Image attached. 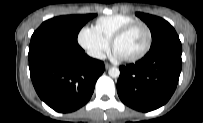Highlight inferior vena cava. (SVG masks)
Listing matches in <instances>:
<instances>
[{"instance_id":"obj_1","label":"inferior vena cava","mask_w":203,"mask_h":123,"mask_svg":"<svg viewBox=\"0 0 203 123\" xmlns=\"http://www.w3.org/2000/svg\"><path fill=\"white\" fill-rule=\"evenodd\" d=\"M88 54L93 58H97L101 60H104L106 58V55L103 52L97 51V50H92Z\"/></svg>"}]
</instances>
